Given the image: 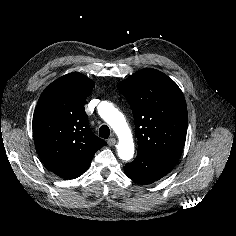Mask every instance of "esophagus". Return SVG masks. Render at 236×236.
<instances>
[{"mask_svg": "<svg viewBox=\"0 0 236 236\" xmlns=\"http://www.w3.org/2000/svg\"><path fill=\"white\" fill-rule=\"evenodd\" d=\"M116 144V139L115 138H110L109 140H108V145L109 146H114Z\"/></svg>", "mask_w": 236, "mask_h": 236, "instance_id": "34e87169", "label": "esophagus"}]
</instances>
